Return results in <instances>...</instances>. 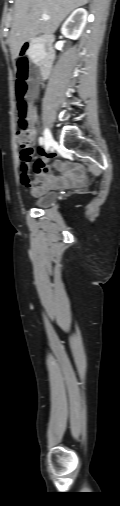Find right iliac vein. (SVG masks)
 Returning <instances> with one entry per match:
<instances>
[{"label":"right iliac vein","instance_id":"63e3f726","mask_svg":"<svg viewBox=\"0 0 120 506\" xmlns=\"http://www.w3.org/2000/svg\"><path fill=\"white\" fill-rule=\"evenodd\" d=\"M54 142V139L52 137V134L49 129H45L44 131V144L46 146V149H48Z\"/></svg>","mask_w":120,"mask_h":506}]
</instances>
